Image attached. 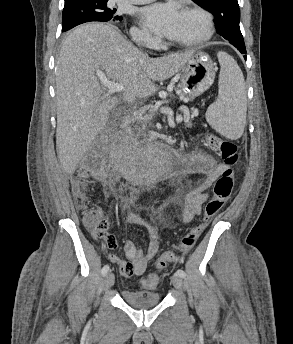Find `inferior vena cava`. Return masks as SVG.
Listing matches in <instances>:
<instances>
[{
  "instance_id": "obj_1",
  "label": "inferior vena cava",
  "mask_w": 293,
  "mask_h": 344,
  "mask_svg": "<svg viewBox=\"0 0 293 344\" xmlns=\"http://www.w3.org/2000/svg\"><path fill=\"white\" fill-rule=\"evenodd\" d=\"M132 38L135 42L140 43L143 39V36L140 33H133Z\"/></svg>"
}]
</instances>
